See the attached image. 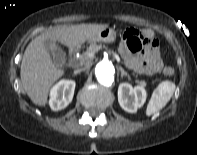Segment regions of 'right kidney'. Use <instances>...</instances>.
Listing matches in <instances>:
<instances>
[{"label":"right kidney","mask_w":197,"mask_h":155,"mask_svg":"<svg viewBox=\"0 0 197 155\" xmlns=\"http://www.w3.org/2000/svg\"><path fill=\"white\" fill-rule=\"evenodd\" d=\"M75 81L61 80L50 91L49 105L53 111L64 109L73 99Z\"/></svg>","instance_id":"ca27d5eb"}]
</instances>
